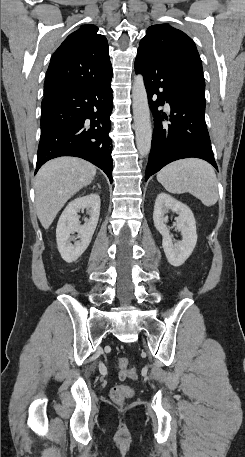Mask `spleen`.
I'll list each match as a JSON object with an SVG mask.
<instances>
[{"label":"spleen","instance_id":"spleen-1","mask_svg":"<svg viewBox=\"0 0 245 457\" xmlns=\"http://www.w3.org/2000/svg\"><path fill=\"white\" fill-rule=\"evenodd\" d=\"M157 180L169 192H190L206 206H212L219 198L214 166L202 158H181L170 162L157 172Z\"/></svg>","mask_w":245,"mask_h":457}]
</instances>
